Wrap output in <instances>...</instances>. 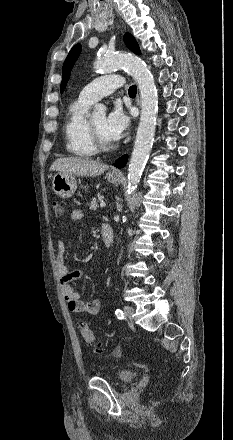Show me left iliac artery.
Wrapping results in <instances>:
<instances>
[{
    "label": "left iliac artery",
    "mask_w": 233,
    "mask_h": 440,
    "mask_svg": "<svg viewBox=\"0 0 233 440\" xmlns=\"http://www.w3.org/2000/svg\"><path fill=\"white\" fill-rule=\"evenodd\" d=\"M115 314H116V316H117L118 319H123V318H124V313H123V311L120 310V309H117L116 312H115Z\"/></svg>",
    "instance_id": "1"
}]
</instances>
